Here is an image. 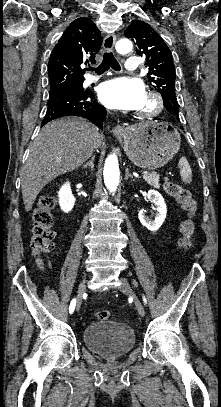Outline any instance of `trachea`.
<instances>
[{
	"label": "trachea",
	"instance_id": "3493384b",
	"mask_svg": "<svg viewBox=\"0 0 221 407\" xmlns=\"http://www.w3.org/2000/svg\"><path fill=\"white\" fill-rule=\"evenodd\" d=\"M110 67H112L115 71H119L120 65L116 58L114 57L112 52H106L103 56V61L102 63L97 67H89V71H95L97 74H103L105 71H107Z\"/></svg>",
	"mask_w": 221,
	"mask_h": 407
}]
</instances>
